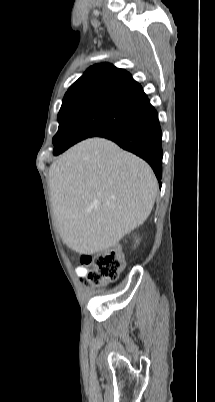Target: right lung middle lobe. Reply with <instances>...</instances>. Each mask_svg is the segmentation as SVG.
Segmentation results:
<instances>
[{
  "label": "right lung middle lobe",
  "instance_id": "dd1d6c3e",
  "mask_svg": "<svg viewBox=\"0 0 215 402\" xmlns=\"http://www.w3.org/2000/svg\"><path fill=\"white\" fill-rule=\"evenodd\" d=\"M144 106L109 94L64 96L58 114V132L53 137V154L58 155L86 138L118 131Z\"/></svg>",
  "mask_w": 215,
  "mask_h": 402
}]
</instances>
